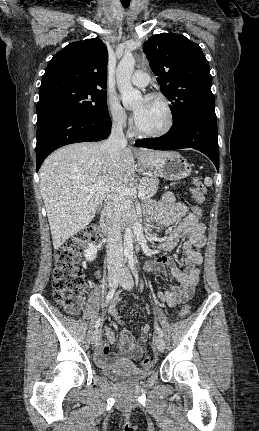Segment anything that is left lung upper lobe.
Instances as JSON below:
<instances>
[{
	"label": "left lung upper lobe",
	"instance_id": "1",
	"mask_svg": "<svg viewBox=\"0 0 259 431\" xmlns=\"http://www.w3.org/2000/svg\"><path fill=\"white\" fill-rule=\"evenodd\" d=\"M143 51L172 103L173 121L191 114L217 118L209 64L198 44L180 34L161 33L150 37Z\"/></svg>",
	"mask_w": 259,
	"mask_h": 431
}]
</instances>
